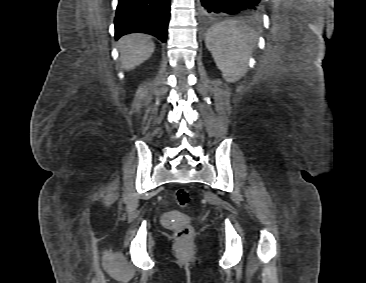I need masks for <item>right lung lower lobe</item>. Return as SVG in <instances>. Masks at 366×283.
I'll return each instance as SVG.
<instances>
[{"instance_id":"1","label":"right lung lower lobe","mask_w":366,"mask_h":283,"mask_svg":"<svg viewBox=\"0 0 366 283\" xmlns=\"http://www.w3.org/2000/svg\"><path fill=\"white\" fill-rule=\"evenodd\" d=\"M170 0H118L115 16V39L143 32L166 42Z\"/></svg>"}]
</instances>
